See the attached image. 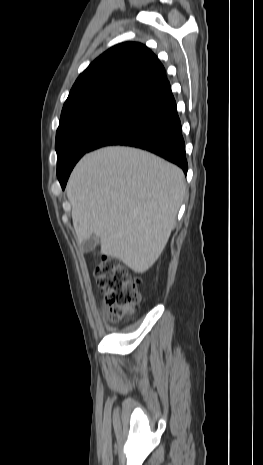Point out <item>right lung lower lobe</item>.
<instances>
[{"instance_id": "obj_1", "label": "right lung lower lobe", "mask_w": 263, "mask_h": 465, "mask_svg": "<svg viewBox=\"0 0 263 465\" xmlns=\"http://www.w3.org/2000/svg\"><path fill=\"white\" fill-rule=\"evenodd\" d=\"M108 145L141 148L178 165L188 164L176 102L168 81L141 95L93 144L90 151ZM69 174L59 179L64 189Z\"/></svg>"}]
</instances>
